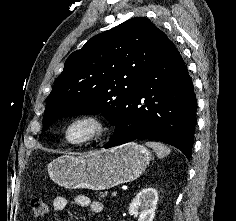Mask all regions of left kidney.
<instances>
[{"mask_svg": "<svg viewBox=\"0 0 236 221\" xmlns=\"http://www.w3.org/2000/svg\"><path fill=\"white\" fill-rule=\"evenodd\" d=\"M158 202V193L154 188L141 190L129 205V213L139 217L138 221H153Z\"/></svg>", "mask_w": 236, "mask_h": 221, "instance_id": "1", "label": "left kidney"}]
</instances>
